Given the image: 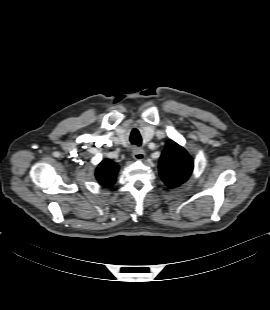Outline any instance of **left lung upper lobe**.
<instances>
[{"mask_svg": "<svg viewBox=\"0 0 270 310\" xmlns=\"http://www.w3.org/2000/svg\"><path fill=\"white\" fill-rule=\"evenodd\" d=\"M193 171V161L187 151L169 140L159 160V174L164 183L175 188L184 183Z\"/></svg>", "mask_w": 270, "mask_h": 310, "instance_id": "1", "label": "left lung upper lobe"}]
</instances>
